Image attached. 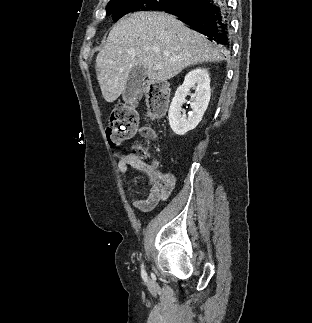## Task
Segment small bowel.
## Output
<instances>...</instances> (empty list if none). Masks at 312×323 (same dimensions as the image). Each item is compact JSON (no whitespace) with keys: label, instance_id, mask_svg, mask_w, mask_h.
<instances>
[{"label":"small bowel","instance_id":"1","mask_svg":"<svg viewBox=\"0 0 312 323\" xmlns=\"http://www.w3.org/2000/svg\"><path fill=\"white\" fill-rule=\"evenodd\" d=\"M117 166L122 174H126L129 169L143 172L147 175L150 184L148 196L144 199H135L132 206L137 211L148 212L152 210L160 201L165 200L173 191L176 179L171 173H164L159 170L158 162L146 163L132 154L117 153Z\"/></svg>","mask_w":312,"mask_h":323}]
</instances>
